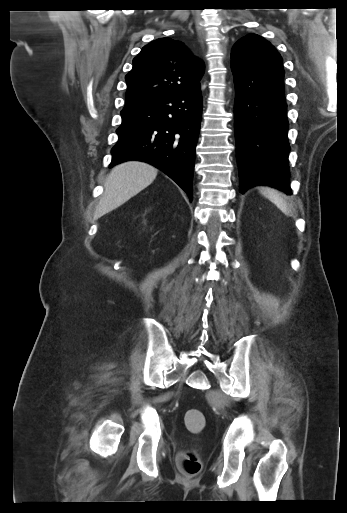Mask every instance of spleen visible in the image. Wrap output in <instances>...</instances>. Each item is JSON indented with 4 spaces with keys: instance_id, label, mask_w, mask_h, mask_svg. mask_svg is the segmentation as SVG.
Here are the masks:
<instances>
[{
    "instance_id": "1",
    "label": "spleen",
    "mask_w": 347,
    "mask_h": 513,
    "mask_svg": "<svg viewBox=\"0 0 347 513\" xmlns=\"http://www.w3.org/2000/svg\"><path fill=\"white\" fill-rule=\"evenodd\" d=\"M261 194L268 198L271 202H273L284 214H289L290 210L286 203V201L283 199V197L280 196V194L271 188L263 187L261 188Z\"/></svg>"
}]
</instances>
